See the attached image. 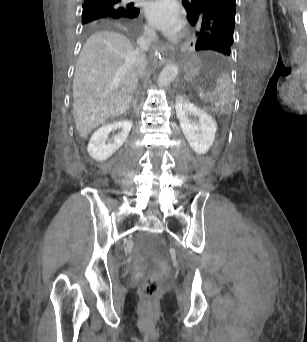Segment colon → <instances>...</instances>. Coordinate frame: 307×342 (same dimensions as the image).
Returning <instances> with one entry per match:
<instances>
[{
    "instance_id": "5ec220e1",
    "label": "colon",
    "mask_w": 307,
    "mask_h": 342,
    "mask_svg": "<svg viewBox=\"0 0 307 342\" xmlns=\"http://www.w3.org/2000/svg\"><path fill=\"white\" fill-rule=\"evenodd\" d=\"M152 268L146 269V281H142V307H157V288H162V278L168 275L169 266L165 261H152Z\"/></svg>"
}]
</instances>
